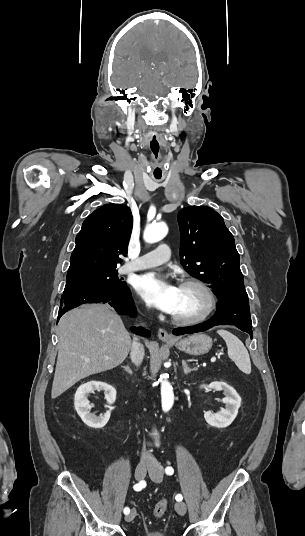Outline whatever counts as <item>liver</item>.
I'll use <instances>...</instances> for the list:
<instances>
[{
  "mask_svg": "<svg viewBox=\"0 0 305 536\" xmlns=\"http://www.w3.org/2000/svg\"><path fill=\"white\" fill-rule=\"evenodd\" d=\"M58 336L51 398H58L87 376L120 366L131 350L129 332L107 304L70 310L59 320Z\"/></svg>",
  "mask_w": 305,
  "mask_h": 536,
  "instance_id": "liver-1",
  "label": "liver"
}]
</instances>
